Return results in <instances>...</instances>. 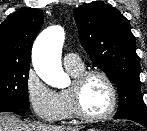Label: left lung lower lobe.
Masks as SVG:
<instances>
[{
	"instance_id": "left-lung-lower-lobe-1",
	"label": "left lung lower lobe",
	"mask_w": 147,
	"mask_h": 131,
	"mask_svg": "<svg viewBox=\"0 0 147 131\" xmlns=\"http://www.w3.org/2000/svg\"><path fill=\"white\" fill-rule=\"evenodd\" d=\"M115 119H129V120H132V121H135L141 125H143L146 129H147V120H144V119H140V118H134V117H124V118H118V117H115Z\"/></svg>"
}]
</instances>
